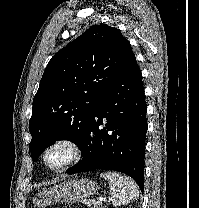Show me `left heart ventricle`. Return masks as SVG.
I'll return each mask as SVG.
<instances>
[{
  "label": "left heart ventricle",
  "instance_id": "left-heart-ventricle-1",
  "mask_svg": "<svg viewBox=\"0 0 199 208\" xmlns=\"http://www.w3.org/2000/svg\"><path fill=\"white\" fill-rule=\"evenodd\" d=\"M70 158V150L66 146H57L51 149L47 155V162L51 166H57Z\"/></svg>",
  "mask_w": 199,
  "mask_h": 208
}]
</instances>
